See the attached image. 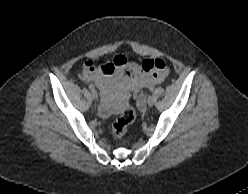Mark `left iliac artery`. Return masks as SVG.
Instances as JSON below:
<instances>
[{
  "instance_id": "44dca946",
  "label": "left iliac artery",
  "mask_w": 248,
  "mask_h": 194,
  "mask_svg": "<svg viewBox=\"0 0 248 194\" xmlns=\"http://www.w3.org/2000/svg\"><path fill=\"white\" fill-rule=\"evenodd\" d=\"M154 90V88L153 87H150V91H153Z\"/></svg>"
}]
</instances>
